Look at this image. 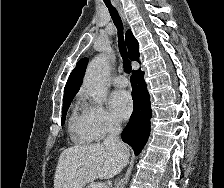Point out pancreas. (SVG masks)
<instances>
[{
  "instance_id": "1",
  "label": "pancreas",
  "mask_w": 224,
  "mask_h": 188,
  "mask_svg": "<svg viewBox=\"0 0 224 188\" xmlns=\"http://www.w3.org/2000/svg\"><path fill=\"white\" fill-rule=\"evenodd\" d=\"M91 185H92V184L88 185L86 188H91Z\"/></svg>"
}]
</instances>
